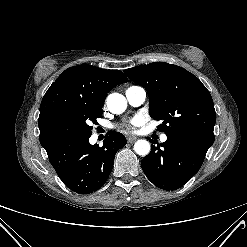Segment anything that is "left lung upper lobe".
<instances>
[{
  "instance_id": "1",
  "label": "left lung upper lobe",
  "mask_w": 247,
  "mask_h": 247,
  "mask_svg": "<svg viewBox=\"0 0 247 247\" xmlns=\"http://www.w3.org/2000/svg\"><path fill=\"white\" fill-rule=\"evenodd\" d=\"M143 86L149 96L150 116L161 120L158 130L184 135L211 146L216 113L209 91L202 82L179 66L155 62L124 70Z\"/></svg>"
}]
</instances>
